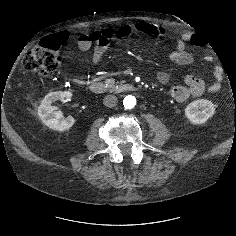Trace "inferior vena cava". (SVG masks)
<instances>
[{"instance_id":"1","label":"inferior vena cava","mask_w":236,"mask_h":236,"mask_svg":"<svg viewBox=\"0 0 236 236\" xmlns=\"http://www.w3.org/2000/svg\"><path fill=\"white\" fill-rule=\"evenodd\" d=\"M117 97L114 95H107L104 100H103V104L106 107H114L117 105Z\"/></svg>"}]
</instances>
